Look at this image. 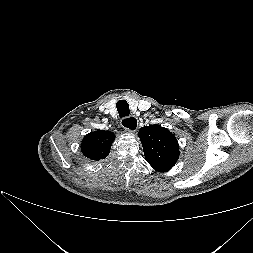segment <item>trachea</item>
<instances>
[{"instance_id": "obj_1", "label": "trachea", "mask_w": 253, "mask_h": 253, "mask_svg": "<svg viewBox=\"0 0 253 253\" xmlns=\"http://www.w3.org/2000/svg\"><path fill=\"white\" fill-rule=\"evenodd\" d=\"M118 113L120 117H125L129 115V105L125 100H119L116 104ZM129 127V126H128Z\"/></svg>"}]
</instances>
